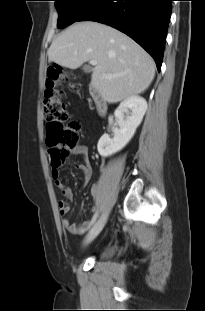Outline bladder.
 I'll return each instance as SVG.
<instances>
[{
	"mask_svg": "<svg viewBox=\"0 0 205 311\" xmlns=\"http://www.w3.org/2000/svg\"><path fill=\"white\" fill-rule=\"evenodd\" d=\"M115 252V247L114 246H109V247H106L105 250L103 251V256L104 257H110L114 254Z\"/></svg>",
	"mask_w": 205,
	"mask_h": 311,
	"instance_id": "1",
	"label": "bladder"
}]
</instances>
